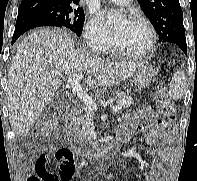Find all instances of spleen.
Listing matches in <instances>:
<instances>
[{
    "label": "spleen",
    "instance_id": "3e777b00",
    "mask_svg": "<svg viewBox=\"0 0 197 181\" xmlns=\"http://www.w3.org/2000/svg\"><path fill=\"white\" fill-rule=\"evenodd\" d=\"M186 92V77L180 69L175 71L169 88V95L173 100H179L184 97Z\"/></svg>",
    "mask_w": 197,
    "mask_h": 181
}]
</instances>
